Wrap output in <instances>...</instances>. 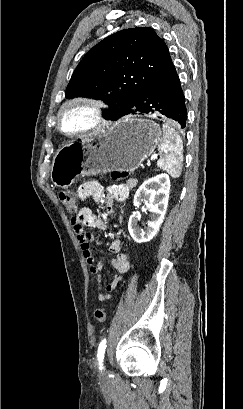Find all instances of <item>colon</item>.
<instances>
[{
  "mask_svg": "<svg viewBox=\"0 0 243 409\" xmlns=\"http://www.w3.org/2000/svg\"><path fill=\"white\" fill-rule=\"evenodd\" d=\"M127 176L126 172H113L112 177L115 180L125 178ZM59 199L63 203L65 209L69 213H76L79 208V199L77 195L68 190H62L59 192ZM94 316L99 323H104L107 318V313L105 308L98 307L95 312Z\"/></svg>",
  "mask_w": 243,
  "mask_h": 409,
  "instance_id": "5ec220e1",
  "label": "colon"
}]
</instances>
